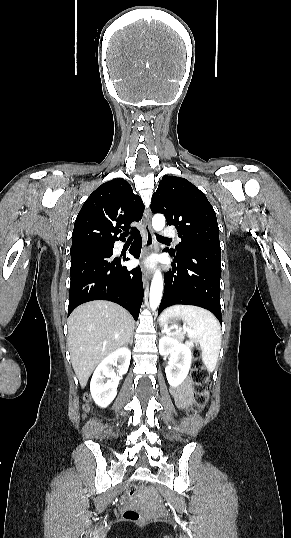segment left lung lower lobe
I'll use <instances>...</instances> for the list:
<instances>
[{
  "label": "left lung lower lobe",
  "instance_id": "1",
  "mask_svg": "<svg viewBox=\"0 0 291 538\" xmlns=\"http://www.w3.org/2000/svg\"><path fill=\"white\" fill-rule=\"evenodd\" d=\"M172 270L165 274L158 315L167 307L195 305L211 311L221 322V250L192 248L174 256Z\"/></svg>",
  "mask_w": 291,
  "mask_h": 538
}]
</instances>
